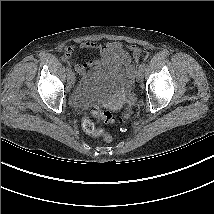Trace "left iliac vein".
Wrapping results in <instances>:
<instances>
[{"instance_id": "1", "label": "left iliac vein", "mask_w": 214, "mask_h": 214, "mask_svg": "<svg viewBox=\"0 0 214 214\" xmlns=\"http://www.w3.org/2000/svg\"><path fill=\"white\" fill-rule=\"evenodd\" d=\"M142 72L143 70H137L136 73H135V78L140 81L142 79Z\"/></svg>"}]
</instances>
